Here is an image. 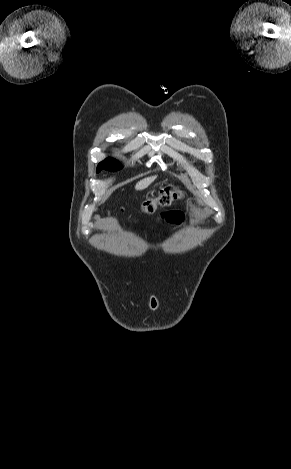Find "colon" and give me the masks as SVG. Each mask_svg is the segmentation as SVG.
I'll return each mask as SVG.
<instances>
[{
    "label": "colon",
    "mask_w": 291,
    "mask_h": 469,
    "mask_svg": "<svg viewBox=\"0 0 291 469\" xmlns=\"http://www.w3.org/2000/svg\"><path fill=\"white\" fill-rule=\"evenodd\" d=\"M182 194L178 189L165 188L159 192L157 196L147 197L142 209L145 213H153L159 206H167L174 200L181 198Z\"/></svg>",
    "instance_id": "5ec220e1"
}]
</instances>
